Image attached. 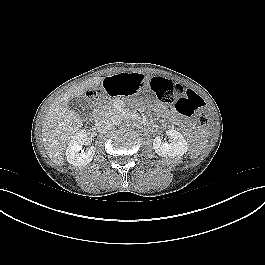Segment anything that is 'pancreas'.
Returning a JSON list of instances; mask_svg holds the SVG:
<instances>
[{"label":"pancreas","mask_w":265,"mask_h":265,"mask_svg":"<svg viewBox=\"0 0 265 265\" xmlns=\"http://www.w3.org/2000/svg\"><path fill=\"white\" fill-rule=\"evenodd\" d=\"M96 112L101 117H109L111 114L115 113V110L113 109V102H108L102 105Z\"/></svg>","instance_id":"cf45deb5"}]
</instances>
